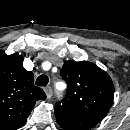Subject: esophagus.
<instances>
[{
  "mask_svg": "<svg viewBox=\"0 0 130 130\" xmlns=\"http://www.w3.org/2000/svg\"><path fill=\"white\" fill-rule=\"evenodd\" d=\"M44 91L46 93L47 99H50L52 97V93H53L52 88L51 87H46L44 89Z\"/></svg>",
  "mask_w": 130,
  "mask_h": 130,
  "instance_id": "esophagus-1",
  "label": "esophagus"
}]
</instances>
